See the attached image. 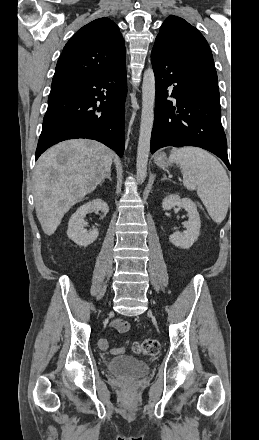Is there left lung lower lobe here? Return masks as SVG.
I'll use <instances>...</instances> for the list:
<instances>
[{"instance_id":"0a47b994","label":"left lung lower lobe","mask_w":259,"mask_h":440,"mask_svg":"<svg viewBox=\"0 0 259 440\" xmlns=\"http://www.w3.org/2000/svg\"><path fill=\"white\" fill-rule=\"evenodd\" d=\"M151 62L156 82L151 153L165 146L201 147L230 169L215 68L177 60L158 48H153ZM168 96L176 98V106Z\"/></svg>"}]
</instances>
